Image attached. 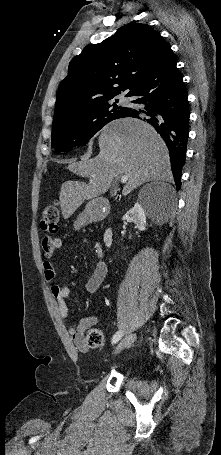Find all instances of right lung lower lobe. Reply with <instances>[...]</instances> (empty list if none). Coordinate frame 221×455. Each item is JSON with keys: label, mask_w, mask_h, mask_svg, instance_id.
Returning <instances> with one entry per match:
<instances>
[{"label": "right lung lower lobe", "mask_w": 221, "mask_h": 455, "mask_svg": "<svg viewBox=\"0 0 221 455\" xmlns=\"http://www.w3.org/2000/svg\"><path fill=\"white\" fill-rule=\"evenodd\" d=\"M130 96L145 110L129 109L123 117L140 118L150 123L165 141L170 155L176 187L181 186L189 134V106L182 75L172 50L165 52L156 66L139 82Z\"/></svg>", "instance_id": "1"}]
</instances>
